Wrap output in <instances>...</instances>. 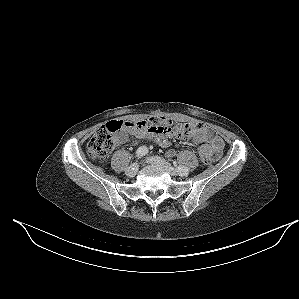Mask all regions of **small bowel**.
<instances>
[{"label": "small bowel", "mask_w": 299, "mask_h": 299, "mask_svg": "<svg viewBox=\"0 0 299 299\" xmlns=\"http://www.w3.org/2000/svg\"><path fill=\"white\" fill-rule=\"evenodd\" d=\"M129 130L137 138H154L162 147H167L169 145V142L166 139V136H169V134H164L148 129L130 128ZM190 139L194 143L205 144V148L211 162L217 160L221 156L222 150L224 148V142L220 136H218L207 127L199 125V127L191 134ZM125 140V135H122L117 143H122ZM167 155L169 157H173L175 155V152L173 150H170L168 151Z\"/></svg>", "instance_id": "small-bowel-1"}]
</instances>
